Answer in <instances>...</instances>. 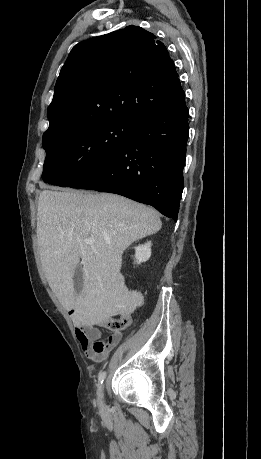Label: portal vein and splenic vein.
I'll return each mask as SVG.
<instances>
[{
	"label": "portal vein and splenic vein",
	"mask_w": 261,
	"mask_h": 459,
	"mask_svg": "<svg viewBox=\"0 0 261 459\" xmlns=\"http://www.w3.org/2000/svg\"><path fill=\"white\" fill-rule=\"evenodd\" d=\"M93 241H94L93 238H86V239L84 240V242H85L86 244H90V245L93 244Z\"/></svg>",
	"instance_id": "portal-vein-and-splenic-vein-1"
}]
</instances>
